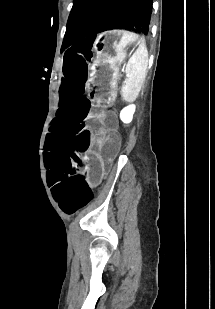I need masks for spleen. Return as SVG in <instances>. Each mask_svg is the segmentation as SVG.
<instances>
[{
	"mask_svg": "<svg viewBox=\"0 0 215 309\" xmlns=\"http://www.w3.org/2000/svg\"><path fill=\"white\" fill-rule=\"evenodd\" d=\"M147 64L148 50L145 42H141L126 64L125 72L127 78H125V84L121 88L123 100L133 102L137 98L145 78Z\"/></svg>",
	"mask_w": 215,
	"mask_h": 309,
	"instance_id": "1",
	"label": "spleen"
}]
</instances>
